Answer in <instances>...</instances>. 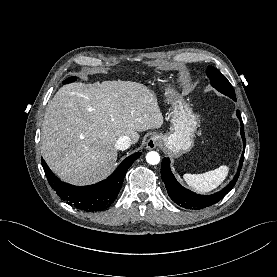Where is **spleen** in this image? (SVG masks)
I'll use <instances>...</instances> for the list:
<instances>
[{
	"label": "spleen",
	"mask_w": 277,
	"mask_h": 277,
	"mask_svg": "<svg viewBox=\"0 0 277 277\" xmlns=\"http://www.w3.org/2000/svg\"><path fill=\"white\" fill-rule=\"evenodd\" d=\"M229 167L219 168L202 174H184L183 178L191 188L200 193H207L217 188L227 177Z\"/></svg>",
	"instance_id": "1"
}]
</instances>
